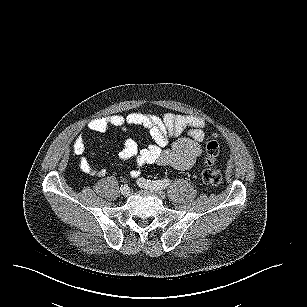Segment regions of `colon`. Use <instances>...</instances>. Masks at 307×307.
Instances as JSON below:
<instances>
[{"label": "colon", "mask_w": 307, "mask_h": 307, "mask_svg": "<svg viewBox=\"0 0 307 307\" xmlns=\"http://www.w3.org/2000/svg\"><path fill=\"white\" fill-rule=\"evenodd\" d=\"M218 152V142L214 139H208L205 144L204 167L201 172V180L210 186H218L223 180L221 171L213 167Z\"/></svg>", "instance_id": "obj_1"}]
</instances>
